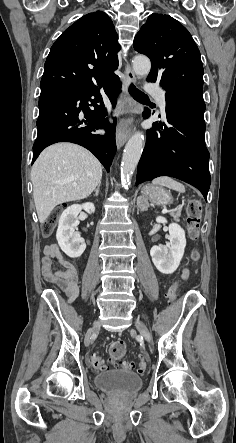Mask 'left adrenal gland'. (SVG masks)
<instances>
[{"instance_id": "1", "label": "left adrenal gland", "mask_w": 236, "mask_h": 443, "mask_svg": "<svg viewBox=\"0 0 236 443\" xmlns=\"http://www.w3.org/2000/svg\"><path fill=\"white\" fill-rule=\"evenodd\" d=\"M138 208H140L141 211H146L148 208V205H143L141 202H137Z\"/></svg>"}]
</instances>
